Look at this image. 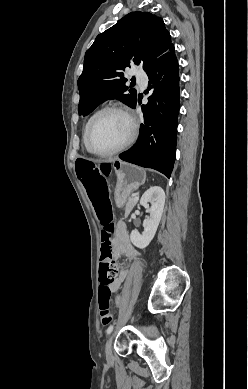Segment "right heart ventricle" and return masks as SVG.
Masks as SVG:
<instances>
[{"label":"right heart ventricle","mask_w":248,"mask_h":389,"mask_svg":"<svg viewBox=\"0 0 248 389\" xmlns=\"http://www.w3.org/2000/svg\"><path fill=\"white\" fill-rule=\"evenodd\" d=\"M96 113H97V112H96ZM96 113H94V114L88 119V121H87V123H86V125H85L84 135H85V131H86V128H87L88 123L90 122V120L92 119V117H93Z\"/></svg>","instance_id":"obj_1"}]
</instances>
